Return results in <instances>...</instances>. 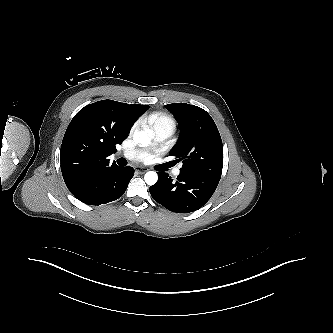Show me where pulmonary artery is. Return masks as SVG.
Instances as JSON below:
<instances>
[{"label":"pulmonary artery","instance_id":"e3ab8cb5","mask_svg":"<svg viewBox=\"0 0 333 333\" xmlns=\"http://www.w3.org/2000/svg\"><path fill=\"white\" fill-rule=\"evenodd\" d=\"M174 127L169 126V125H164V126H159L154 129L155 133V143L159 144L165 141L172 133H173ZM121 156L127 160H132V161H138L143 159L146 156V153L141 150H136V149H131V150H126L121 153ZM180 169L176 168L173 171L174 175H179Z\"/></svg>","mask_w":333,"mask_h":333}]
</instances>
